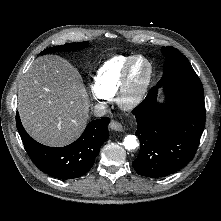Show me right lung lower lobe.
I'll return each instance as SVG.
<instances>
[{"label":"right lung lower lobe","mask_w":221,"mask_h":221,"mask_svg":"<svg viewBox=\"0 0 221 221\" xmlns=\"http://www.w3.org/2000/svg\"><path fill=\"white\" fill-rule=\"evenodd\" d=\"M109 122V118L94 120L75 142L56 148L33 140L23 128L19 114H16L18 132L33 163L46 174L63 180L81 177L91 169L100 147L109 137Z\"/></svg>","instance_id":"obj_1"}]
</instances>
